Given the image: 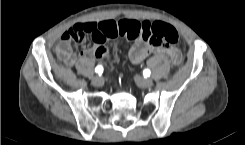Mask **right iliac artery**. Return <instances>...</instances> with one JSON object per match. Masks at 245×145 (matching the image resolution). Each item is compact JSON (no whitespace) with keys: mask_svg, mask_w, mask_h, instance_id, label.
I'll use <instances>...</instances> for the list:
<instances>
[{"mask_svg":"<svg viewBox=\"0 0 245 145\" xmlns=\"http://www.w3.org/2000/svg\"><path fill=\"white\" fill-rule=\"evenodd\" d=\"M95 72L101 74L103 72V66L102 65H98L95 68Z\"/></svg>","mask_w":245,"mask_h":145,"instance_id":"1","label":"right iliac artery"}]
</instances>
